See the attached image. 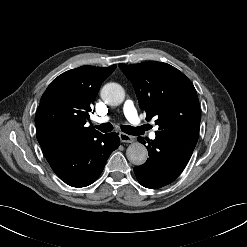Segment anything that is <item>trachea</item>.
I'll return each mask as SVG.
<instances>
[{
	"instance_id": "1",
	"label": "trachea",
	"mask_w": 247,
	"mask_h": 247,
	"mask_svg": "<svg viewBox=\"0 0 247 247\" xmlns=\"http://www.w3.org/2000/svg\"><path fill=\"white\" fill-rule=\"evenodd\" d=\"M95 128H97L102 132H111L113 130V126L110 123H103L101 125L95 126ZM121 130L126 134H130V135H139L142 132L141 127H132L129 125L121 126Z\"/></svg>"
}]
</instances>
